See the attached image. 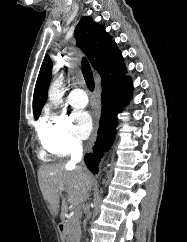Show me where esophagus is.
<instances>
[{
    "label": "esophagus",
    "mask_w": 187,
    "mask_h": 242,
    "mask_svg": "<svg viewBox=\"0 0 187 242\" xmlns=\"http://www.w3.org/2000/svg\"><path fill=\"white\" fill-rule=\"evenodd\" d=\"M97 129H98V119L95 123V127H94V131L92 133V136H91V139H90V142L88 144V149L90 150L92 145L94 144L95 140H96V136H97Z\"/></svg>",
    "instance_id": "34e87169"
}]
</instances>
